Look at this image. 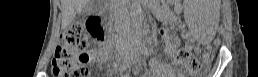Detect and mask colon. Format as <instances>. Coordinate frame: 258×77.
<instances>
[{"mask_svg": "<svg viewBox=\"0 0 258 77\" xmlns=\"http://www.w3.org/2000/svg\"><path fill=\"white\" fill-rule=\"evenodd\" d=\"M97 35H103L100 27ZM166 41V48L171 52L178 63L185 65L190 75L198 74L203 64L190 53L180 47L178 38L166 32L162 34ZM88 38L85 35L81 23L72 24L62 35L58 46L55 49L52 59V72L55 77H89L90 71L87 64L90 60L86 52Z\"/></svg>", "mask_w": 258, "mask_h": 77, "instance_id": "colon-1", "label": "colon"}]
</instances>
